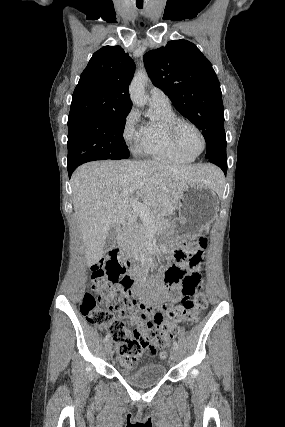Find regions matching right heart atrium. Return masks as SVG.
<instances>
[{
	"label": "right heart atrium",
	"instance_id": "obj_1",
	"mask_svg": "<svg viewBox=\"0 0 285 427\" xmlns=\"http://www.w3.org/2000/svg\"><path fill=\"white\" fill-rule=\"evenodd\" d=\"M139 114L135 109H132L126 117L123 138L128 144L138 142L141 136V127L138 126ZM132 150H137V146L133 147Z\"/></svg>",
	"mask_w": 285,
	"mask_h": 427
}]
</instances>
